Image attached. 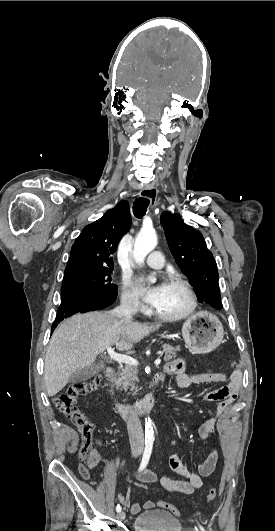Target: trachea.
<instances>
[{
	"instance_id": "3493384b",
	"label": "trachea",
	"mask_w": 275,
	"mask_h": 531,
	"mask_svg": "<svg viewBox=\"0 0 275 531\" xmlns=\"http://www.w3.org/2000/svg\"><path fill=\"white\" fill-rule=\"evenodd\" d=\"M148 206H149V199H146L143 197L137 198L133 204L134 216H136V218H142L145 215Z\"/></svg>"
}]
</instances>
